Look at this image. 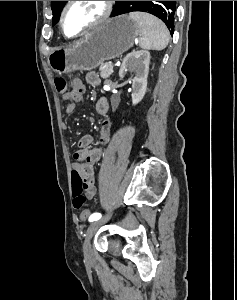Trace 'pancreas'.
I'll return each instance as SVG.
<instances>
[{
    "mask_svg": "<svg viewBox=\"0 0 237 300\" xmlns=\"http://www.w3.org/2000/svg\"><path fill=\"white\" fill-rule=\"evenodd\" d=\"M113 65V63H111ZM110 63H100L99 71H101L100 75L103 77V79H106V77H109V75H112L113 71L108 66Z\"/></svg>",
    "mask_w": 237,
    "mask_h": 300,
    "instance_id": "cf45deb5",
    "label": "pancreas"
}]
</instances>
